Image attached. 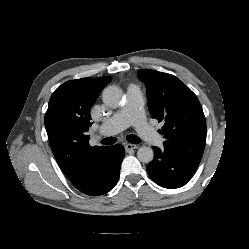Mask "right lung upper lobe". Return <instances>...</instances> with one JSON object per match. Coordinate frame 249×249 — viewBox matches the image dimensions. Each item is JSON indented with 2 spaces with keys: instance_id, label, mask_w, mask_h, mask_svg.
Listing matches in <instances>:
<instances>
[{
  "instance_id": "obj_1",
  "label": "right lung upper lobe",
  "mask_w": 249,
  "mask_h": 249,
  "mask_svg": "<svg viewBox=\"0 0 249 249\" xmlns=\"http://www.w3.org/2000/svg\"><path fill=\"white\" fill-rule=\"evenodd\" d=\"M112 77L82 78L58 87L49 100L45 127L59 167L75 186L83 182L85 172L106 156L108 147H91L90 110L101 90Z\"/></svg>"
}]
</instances>
